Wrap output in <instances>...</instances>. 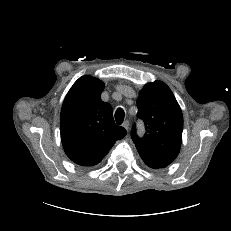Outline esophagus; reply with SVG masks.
<instances>
[{
  "label": "esophagus",
  "mask_w": 231,
  "mask_h": 231,
  "mask_svg": "<svg viewBox=\"0 0 231 231\" xmlns=\"http://www.w3.org/2000/svg\"><path fill=\"white\" fill-rule=\"evenodd\" d=\"M129 126H130V123H129L128 120H126V121L123 122V127H124L127 131H129Z\"/></svg>",
  "instance_id": "esophagus-1"
}]
</instances>
